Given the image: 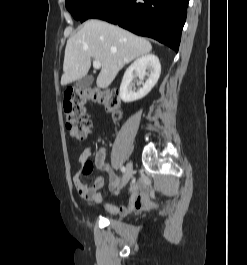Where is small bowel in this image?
I'll return each instance as SVG.
<instances>
[{
    "instance_id": "small-bowel-1",
    "label": "small bowel",
    "mask_w": 247,
    "mask_h": 265,
    "mask_svg": "<svg viewBox=\"0 0 247 265\" xmlns=\"http://www.w3.org/2000/svg\"><path fill=\"white\" fill-rule=\"evenodd\" d=\"M92 155V149H84L79 156V163L82 167V172L87 173L86 166L90 163L89 158ZM95 167L109 175V188L116 190L121 180L117 177L111 166L106 162L105 150H99L94 158ZM73 185L76 188L78 194L86 201L102 204L101 189L104 185V179L98 176L94 179L91 186L84 183L81 179V172H78L73 177ZM155 205V202L151 198L148 190L141 191L137 184H132L130 188L129 198L126 203L117 207L111 204H104V208L113 215H128L135 210L141 211L151 208Z\"/></svg>"
}]
</instances>
